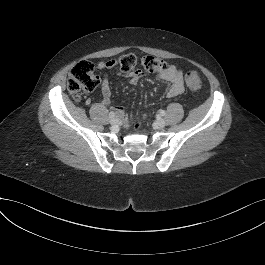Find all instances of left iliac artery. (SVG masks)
I'll return each instance as SVG.
<instances>
[{
	"label": "left iliac artery",
	"instance_id": "44dca946",
	"mask_svg": "<svg viewBox=\"0 0 265 265\" xmlns=\"http://www.w3.org/2000/svg\"><path fill=\"white\" fill-rule=\"evenodd\" d=\"M160 114H161L162 116H165L166 112H165L164 110H160Z\"/></svg>",
	"mask_w": 265,
	"mask_h": 265
}]
</instances>
